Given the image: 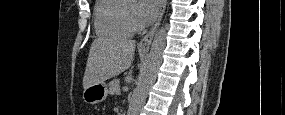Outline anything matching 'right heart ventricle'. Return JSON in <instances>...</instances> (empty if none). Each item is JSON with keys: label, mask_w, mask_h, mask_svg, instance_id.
Returning <instances> with one entry per match:
<instances>
[{"label": "right heart ventricle", "mask_w": 285, "mask_h": 115, "mask_svg": "<svg viewBox=\"0 0 285 115\" xmlns=\"http://www.w3.org/2000/svg\"><path fill=\"white\" fill-rule=\"evenodd\" d=\"M94 27L100 37H126L134 32L126 20L123 0L97 1L94 9Z\"/></svg>", "instance_id": "obj_1"}]
</instances>
